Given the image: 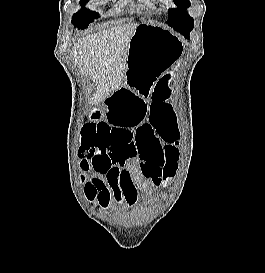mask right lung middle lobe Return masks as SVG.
<instances>
[{
	"label": "right lung middle lobe",
	"instance_id": "right-lung-middle-lobe-1",
	"mask_svg": "<svg viewBox=\"0 0 265 273\" xmlns=\"http://www.w3.org/2000/svg\"><path fill=\"white\" fill-rule=\"evenodd\" d=\"M88 0H81L80 4L84 6ZM99 18L96 12L89 11L87 9H82L72 17V23L79 29H85L88 27L89 23L93 22L94 19Z\"/></svg>",
	"mask_w": 265,
	"mask_h": 273
}]
</instances>
